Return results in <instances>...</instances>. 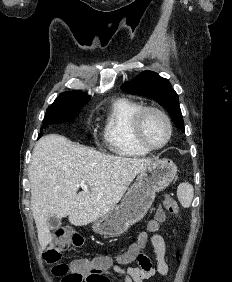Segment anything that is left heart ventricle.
<instances>
[{"instance_id":"left-heart-ventricle-1","label":"left heart ventricle","mask_w":232,"mask_h":282,"mask_svg":"<svg viewBox=\"0 0 232 282\" xmlns=\"http://www.w3.org/2000/svg\"><path fill=\"white\" fill-rule=\"evenodd\" d=\"M143 135L152 145L162 144L168 135V128L161 116L149 113L143 121Z\"/></svg>"}]
</instances>
